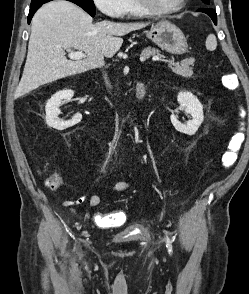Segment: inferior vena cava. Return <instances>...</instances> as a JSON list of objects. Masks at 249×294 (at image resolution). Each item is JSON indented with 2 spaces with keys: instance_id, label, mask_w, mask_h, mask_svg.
<instances>
[{
  "instance_id": "602c4592",
  "label": "inferior vena cava",
  "mask_w": 249,
  "mask_h": 294,
  "mask_svg": "<svg viewBox=\"0 0 249 294\" xmlns=\"http://www.w3.org/2000/svg\"><path fill=\"white\" fill-rule=\"evenodd\" d=\"M104 79H105L106 84L108 85V80H107L106 74L104 75Z\"/></svg>"
}]
</instances>
